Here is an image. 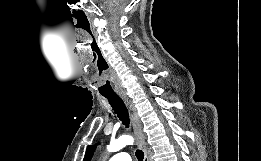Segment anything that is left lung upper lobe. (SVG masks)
Wrapping results in <instances>:
<instances>
[{
  "label": "left lung upper lobe",
  "instance_id": "5c2ea615",
  "mask_svg": "<svg viewBox=\"0 0 261 161\" xmlns=\"http://www.w3.org/2000/svg\"><path fill=\"white\" fill-rule=\"evenodd\" d=\"M95 148H96V145H89L88 146L84 161H90Z\"/></svg>",
  "mask_w": 261,
  "mask_h": 161
}]
</instances>
